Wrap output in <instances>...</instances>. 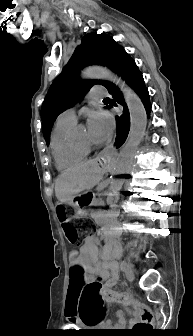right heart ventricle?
Here are the masks:
<instances>
[{"mask_svg": "<svg viewBox=\"0 0 193 336\" xmlns=\"http://www.w3.org/2000/svg\"><path fill=\"white\" fill-rule=\"evenodd\" d=\"M74 124H56L51 139L52 154L58 169H66L82 162L89 150L70 137Z\"/></svg>", "mask_w": 193, "mask_h": 336, "instance_id": "e07e8e85", "label": "right heart ventricle"}]
</instances>
